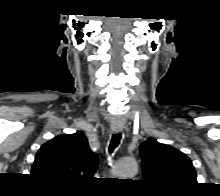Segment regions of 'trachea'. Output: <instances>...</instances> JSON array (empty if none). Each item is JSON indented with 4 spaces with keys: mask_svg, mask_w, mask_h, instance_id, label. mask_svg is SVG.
Masks as SVG:
<instances>
[{
    "mask_svg": "<svg viewBox=\"0 0 220 196\" xmlns=\"http://www.w3.org/2000/svg\"><path fill=\"white\" fill-rule=\"evenodd\" d=\"M121 138H122L121 133H117L112 136V139H111L110 145H109V152L110 153H112L114 151V149L119 145Z\"/></svg>",
    "mask_w": 220,
    "mask_h": 196,
    "instance_id": "3493384b",
    "label": "trachea"
}]
</instances>
